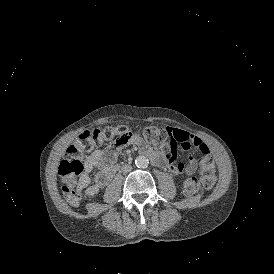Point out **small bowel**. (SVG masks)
I'll list each match as a JSON object with an SVG mask.
<instances>
[{"mask_svg": "<svg viewBox=\"0 0 274 274\" xmlns=\"http://www.w3.org/2000/svg\"><path fill=\"white\" fill-rule=\"evenodd\" d=\"M177 130L179 131L177 138L179 141H181L178 147L181 149L188 150L194 146L201 152L207 147V145L198 137L184 130ZM127 144L138 148L140 152H144L148 149L152 150L153 155L151 160L153 161L154 165L167 169L174 174H180L182 172L192 174L195 171L196 166L193 162L198 158L196 152L191 151L188 153L187 158L191 162L187 166L182 164H175L173 158L170 159L165 155L154 151L140 137L132 135L126 144L120 146H111L104 150H95L86 157L84 171L77 182L78 190L85 195L94 196L98 194L104 187H106L118 169L116 158L119 154V151ZM207 166L209 168H214L216 166V161L214 159H209L207 161ZM94 169H97L98 172L94 177L93 184H90V173ZM197 173L201 175L208 184H213L215 182V177L210 173L205 165H200L197 168Z\"/></svg>", "mask_w": 274, "mask_h": 274, "instance_id": "1", "label": "small bowel"}]
</instances>
